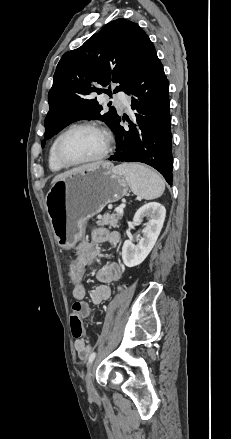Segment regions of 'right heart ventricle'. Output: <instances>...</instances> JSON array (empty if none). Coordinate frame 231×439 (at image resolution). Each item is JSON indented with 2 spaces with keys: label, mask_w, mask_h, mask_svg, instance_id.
I'll use <instances>...</instances> for the list:
<instances>
[{
  "label": "right heart ventricle",
  "mask_w": 231,
  "mask_h": 439,
  "mask_svg": "<svg viewBox=\"0 0 231 439\" xmlns=\"http://www.w3.org/2000/svg\"><path fill=\"white\" fill-rule=\"evenodd\" d=\"M57 138H55L53 140V142L51 143L50 148H49V152H48V165H49V168L54 172L61 171L67 167L64 164H62L56 156L55 148H56Z\"/></svg>",
  "instance_id": "right-heart-ventricle-1"
}]
</instances>
